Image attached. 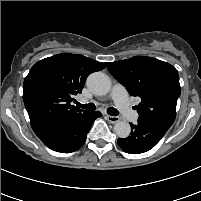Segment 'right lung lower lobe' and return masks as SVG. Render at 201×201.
Here are the masks:
<instances>
[{
	"mask_svg": "<svg viewBox=\"0 0 201 201\" xmlns=\"http://www.w3.org/2000/svg\"><path fill=\"white\" fill-rule=\"evenodd\" d=\"M102 114L98 111L84 113L70 120L45 119L31 123L40 140L50 149L71 153L85 142L92 123Z\"/></svg>",
	"mask_w": 201,
	"mask_h": 201,
	"instance_id": "1",
	"label": "right lung lower lobe"
}]
</instances>
